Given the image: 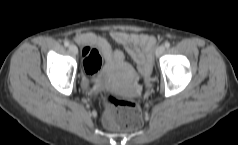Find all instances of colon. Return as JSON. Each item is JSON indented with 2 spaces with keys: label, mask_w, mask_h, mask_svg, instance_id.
Returning <instances> with one entry per match:
<instances>
[{
  "label": "colon",
  "mask_w": 238,
  "mask_h": 145,
  "mask_svg": "<svg viewBox=\"0 0 238 145\" xmlns=\"http://www.w3.org/2000/svg\"><path fill=\"white\" fill-rule=\"evenodd\" d=\"M84 69L87 74H95L101 67L102 59L99 51L90 46L83 49ZM103 101L106 105V123L120 130H134L142 123V112L139 104L133 100L115 97L104 93Z\"/></svg>",
  "instance_id": "obj_1"
}]
</instances>
